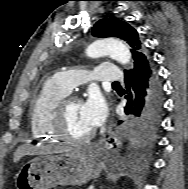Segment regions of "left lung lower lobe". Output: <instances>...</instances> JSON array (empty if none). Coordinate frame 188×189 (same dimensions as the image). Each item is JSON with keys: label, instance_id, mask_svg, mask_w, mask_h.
Segmentation results:
<instances>
[{"label": "left lung lower lobe", "instance_id": "0a47b994", "mask_svg": "<svg viewBox=\"0 0 188 189\" xmlns=\"http://www.w3.org/2000/svg\"><path fill=\"white\" fill-rule=\"evenodd\" d=\"M127 99L125 114L130 116L133 131H145L159 125L163 91L151 61L141 60L134 69L125 71Z\"/></svg>", "mask_w": 188, "mask_h": 189}]
</instances>
